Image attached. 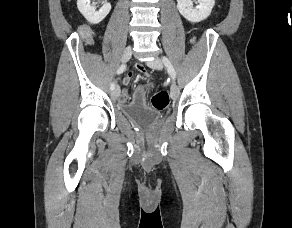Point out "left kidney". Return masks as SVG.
I'll use <instances>...</instances> for the list:
<instances>
[{
	"instance_id": "1",
	"label": "left kidney",
	"mask_w": 292,
	"mask_h": 228,
	"mask_svg": "<svg viewBox=\"0 0 292 228\" xmlns=\"http://www.w3.org/2000/svg\"><path fill=\"white\" fill-rule=\"evenodd\" d=\"M197 1L199 5L194 8L191 0H177V8L180 14L193 23L205 20L211 14L215 4V0Z\"/></svg>"
}]
</instances>
